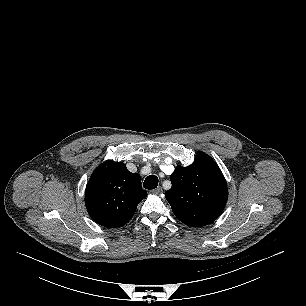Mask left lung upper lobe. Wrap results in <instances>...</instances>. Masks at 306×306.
<instances>
[{"label": "left lung upper lobe", "mask_w": 306, "mask_h": 306, "mask_svg": "<svg viewBox=\"0 0 306 306\" xmlns=\"http://www.w3.org/2000/svg\"><path fill=\"white\" fill-rule=\"evenodd\" d=\"M170 181L172 188L165 196L175 216L184 224L205 226L222 213L228 198L226 180L207 154L198 152L193 164L177 167Z\"/></svg>", "instance_id": "left-lung-upper-lobe-1"}]
</instances>
